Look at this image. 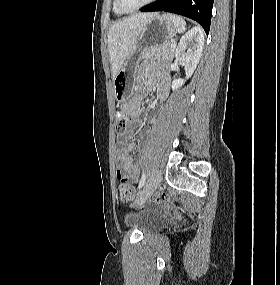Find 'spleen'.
<instances>
[{
	"label": "spleen",
	"mask_w": 280,
	"mask_h": 285,
	"mask_svg": "<svg viewBox=\"0 0 280 285\" xmlns=\"http://www.w3.org/2000/svg\"><path fill=\"white\" fill-rule=\"evenodd\" d=\"M164 16L174 24L179 33L185 31L186 22L182 17L172 14H165Z\"/></svg>",
	"instance_id": "spleen-1"
}]
</instances>
